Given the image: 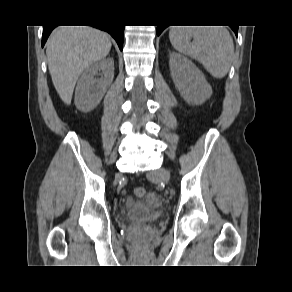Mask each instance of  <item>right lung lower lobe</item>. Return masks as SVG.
Instances as JSON below:
<instances>
[{
  "instance_id": "obj_1",
  "label": "right lung lower lobe",
  "mask_w": 292,
  "mask_h": 292,
  "mask_svg": "<svg viewBox=\"0 0 292 292\" xmlns=\"http://www.w3.org/2000/svg\"><path fill=\"white\" fill-rule=\"evenodd\" d=\"M55 26H43V35H42V46H44L49 34L53 30ZM101 30L107 31L110 33L113 38L116 40L120 50L123 47V34H124V26H116V25H94Z\"/></svg>"
}]
</instances>
